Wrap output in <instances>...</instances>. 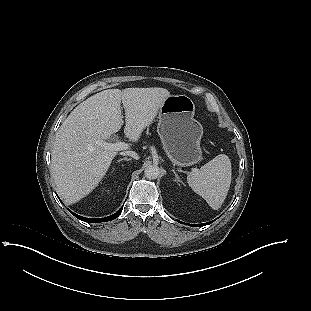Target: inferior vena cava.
Returning <instances> with one entry per match:
<instances>
[{"instance_id": "1", "label": "inferior vena cava", "mask_w": 311, "mask_h": 311, "mask_svg": "<svg viewBox=\"0 0 311 311\" xmlns=\"http://www.w3.org/2000/svg\"><path fill=\"white\" fill-rule=\"evenodd\" d=\"M121 154L130 156V157H132L135 160L139 159V155L135 151H126V152H122Z\"/></svg>"}]
</instances>
